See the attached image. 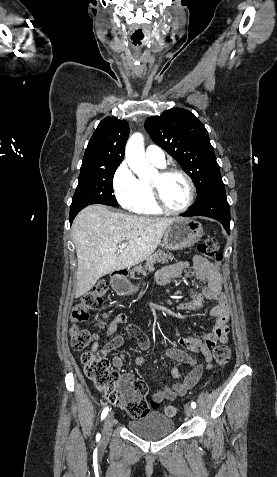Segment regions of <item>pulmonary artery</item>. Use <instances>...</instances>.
Wrapping results in <instances>:
<instances>
[{
	"mask_svg": "<svg viewBox=\"0 0 277 477\" xmlns=\"http://www.w3.org/2000/svg\"><path fill=\"white\" fill-rule=\"evenodd\" d=\"M145 156L150 163L158 167H162L165 165L164 152L156 145H149L146 149Z\"/></svg>",
	"mask_w": 277,
	"mask_h": 477,
	"instance_id": "e3ab8cb5",
	"label": "pulmonary artery"
}]
</instances>
